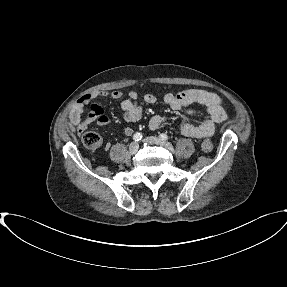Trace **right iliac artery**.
Segmentation results:
<instances>
[{
	"label": "right iliac artery",
	"instance_id": "obj_1",
	"mask_svg": "<svg viewBox=\"0 0 287 287\" xmlns=\"http://www.w3.org/2000/svg\"><path fill=\"white\" fill-rule=\"evenodd\" d=\"M133 139L135 141H140L142 139V134L139 133V132L135 133L134 136H133Z\"/></svg>",
	"mask_w": 287,
	"mask_h": 287
}]
</instances>
